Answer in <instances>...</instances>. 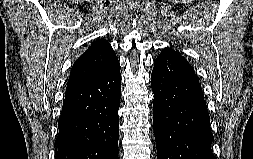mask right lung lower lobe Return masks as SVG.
I'll use <instances>...</instances> for the list:
<instances>
[{"mask_svg": "<svg viewBox=\"0 0 253 159\" xmlns=\"http://www.w3.org/2000/svg\"><path fill=\"white\" fill-rule=\"evenodd\" d=\"M120 92L119 63L66 91L55 159H117Z\"/></svg>", "mask_w": 253, "mask_h": 159, "instance_id": "1", "label": "right lung lower lobe"}]
</instances>
